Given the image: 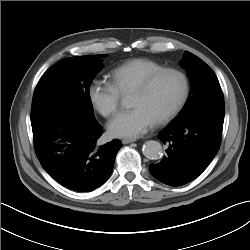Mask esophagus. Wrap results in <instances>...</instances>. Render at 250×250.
Instances as JSON below:
<instances>
[{
    "instance_id": "34e87169",
    "label": "esophagus",
    "mask_w": 250,
    "mask_h": 250,
    "mask_svg": "<svg viewBox=\"0 0 250 250\" xmlns=\"http://www.w3.org/2000/svg\"><path fill=\"white\" fill-rule=\"evenodd\" d=\"M136 139H129V138H125L122 140V143L123 144H129V143H132V142H135Z\"/></svg>"
}]
</instances>
